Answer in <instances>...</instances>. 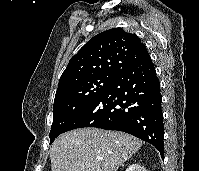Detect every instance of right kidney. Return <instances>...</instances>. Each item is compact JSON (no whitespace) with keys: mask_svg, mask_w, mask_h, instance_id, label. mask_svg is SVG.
I'll use <instances>...</instances> for the list:
<instances>
[{"mask_svg":"<svg viewBox=\"0 0 199 171\" xmlns=\"http://www.w3.org/2000/svg\"><path fill=\"white\" fill-rule=\"evenodd\" d=\"M126 171H146L145 168L143 166H141L140 164L134 163L132 165H130Z\"/></svg>","mask_w":199,"mask_h":171,"instance_id":"1","label":"right kidney"}]
</instances>
